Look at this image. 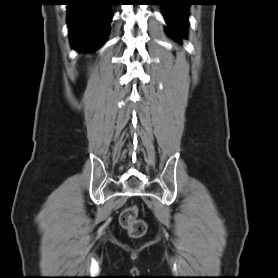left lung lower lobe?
Segmentation results:
<instances>
[{
  "instance_id": "1",
  "label": "left lung lower lobe",
  "mask_w": 278,
  "mask_h": 278,
  "mask_svg": "<svg viewBox=\"0 0 278 278\" xmlns=\"http://www.w3.org/2000/svg\"><path fill=\"white\" fill-rule=\"evenodd\" d=\"M163 15L169 24L168 31L177 38L183 36L182 22L186 21L185 12L191 5V0H160Z\"/></svg>"
}]
</instances>
